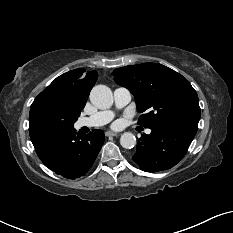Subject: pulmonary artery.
Listing matches in <instances>:
<instances>
[{
  "instance_id": "pulmonary-artery-1",
  "label": "pulmonary artery",
  "mask_w": 233,
  "mask_h": 233,
  "mask_svg": "<svg viewBox=\"0 0 233 233\" xmlns=\"http://www.w3.org/2000/svg\"><path fill=\"white\" fill-rule=\"evenodd\" d=\"M115 109H121L126 106L132 98L131 92L125 87H118L114 90ZM114 117V110L108 109L99 111L89 117H83L78 121L79 127H99L109 123ZM147 134L151 133L150 129L146 130Z\"/></svg>"
}]
</instances>
